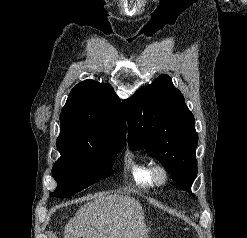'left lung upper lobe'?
<instances>
[{
	"label": "left lung upper lobe",
	"mask_w": 247,
	"mask_h": 238,
	"mask_svg": "<svg viewBox=\"0 0 247 238\" xmlns=\"http://www.w3.org/2000/svg\"><path fill=\"white\" fill-rule=\"evenodd\" d=\"M128 122V143L147 149L172 174L178 189L191 193L197 176L195 150L198 135L193 114L171 78L160 75L123 101Z\"/></svg>",
	"instance_id": "obj_1"
}]
</instances>
